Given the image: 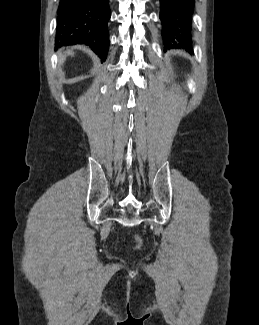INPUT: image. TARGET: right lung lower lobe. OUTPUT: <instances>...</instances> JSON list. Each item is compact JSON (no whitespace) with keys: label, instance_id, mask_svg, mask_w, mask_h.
<instances>
[{"label":"right lung lower lobe","instance_id":"98d812e1","mask_svg":"<svg viewBox=\"0 0 259 325\" xmlns=\"http://www.w3.org/2000/svg\"><path fill=\"white\" fill-rule=\"evenodd\" d=\"M110 17L109 0H60L55 45H87L105 61Z\"/></svg>","mask_w":259,"mask_h":325}]
</instances>
